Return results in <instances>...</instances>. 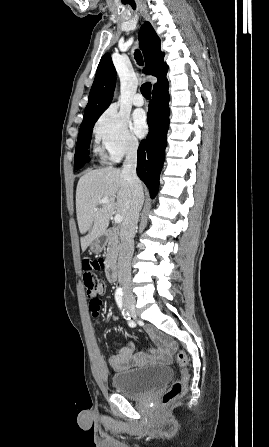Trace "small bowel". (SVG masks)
Here are the masks:
<instances>
[{"instance_id":"1","label":"small bowel","mask_w":269,"mask_h":447,"mask_svg":"<svg viewBox=\"0 0 269 447\" xmlns=\"http://www.w3.org/2000/svg\"><path fill=\"white\" fill-rule=\"evenodd\" d=\"M145 331L154 341L155 348H150L146 353L134 354V345L131 342H127L109 359V363L115 371L127 370L147 362L170 363L174 345H167L164 342L163 337H167V334H163L160 330L150 326L146 327Z\"/></svg>"}]
</instances>
